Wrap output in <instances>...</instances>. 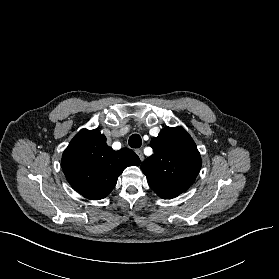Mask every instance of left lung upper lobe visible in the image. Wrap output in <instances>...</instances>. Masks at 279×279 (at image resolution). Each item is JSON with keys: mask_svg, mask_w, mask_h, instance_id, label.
Instances as JSON below:
<instances>
[{"mask_svg": "<svg viewBox=\"0 0 279 279\" xmlns=\"http://www.w3.org/2000/svg\"><path fill=\"white\" fill-rule=\"evenodd\" d=\"M154 154L141 165L151 189L163 199H172L195 181L201 157L191 136L180 126L165 127L151 140Z\"/></svg>", "mask_w": 279, "mask_h": 279, "instance_id": "left-lung-upper-lobe-1", "label": "left lung upper lobe"}]
</instances>
